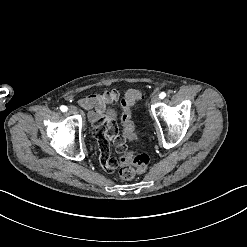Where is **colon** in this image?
Listing matches in <instances>:
<instances>
[{
	"label": "colon",
	"mask_w": 247,
	"mask_h": 247,
	"mask_svg": "<svg viewBox=\"0 0 247 247\" xmlns=\"http://www.w3.org/2000/svg\"><path fill=\"white\" fill-rule=\"evenodd\" d=\"M142 98L140 91L136 89H130L126 95L121 99V105L124 110L122 114V122L124 125L123 136L125 139L132 143L137 142L138 136L135 131L134 124L131 120L132 112L131 105L133 102ZM150 162L148 155H137L133 150H128L124 155L118 159V164L124 167L119 169L120 176L123 179H133L136 176L142 174Z\"/></svg>",
	"instance_id": "obj_1"
}]
</instances>
